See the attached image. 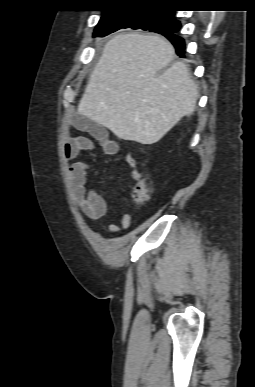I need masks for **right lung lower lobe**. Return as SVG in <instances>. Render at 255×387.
<instances>
[{
    "label": "right lung lower lobe",
    "mask_w": 255,
    "mask_h": 387,
    "mask_svg": "<svg viewBox=\"0 0 255 387\" xmlns=\"http://www.w3.org/2000/svg\"><path fill=\"white\" fill-rule=\"evenodd\" d=\"M177 31H165L160 34H163L165 37H167L176 48V53L178 54V56L184 58L185 43L181 37L175 35Z\"/></svg>",
    "instance_id": "right-lung-lower-lobe-1"
}]
</instances>
